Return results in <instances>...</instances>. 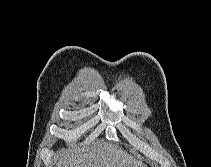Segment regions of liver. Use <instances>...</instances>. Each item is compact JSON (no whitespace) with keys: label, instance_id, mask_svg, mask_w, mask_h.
I'll use <instances>...</instances> for the list:
<instances>
[{"label":"liver","instance_id":"1","mask_svg":"<svg viewBox=\"0 0 211 167\" xmlns=\"http://www.w3.org/2000/svg\"><path fill=\"white\" fill-rule=\"evenodd\" d=\"M56 167H143V164L122 148L98 142L88 150L60 159Z\"/></svg>","mask_w":211,"mask_h":167}]
</instances>
